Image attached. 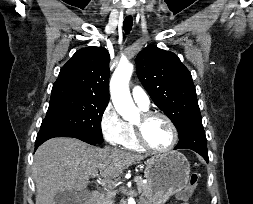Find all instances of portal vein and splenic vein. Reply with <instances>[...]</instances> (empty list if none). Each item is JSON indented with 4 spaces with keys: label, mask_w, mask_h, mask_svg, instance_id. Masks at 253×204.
<instances>
[{
    "label": "portal vein and splenic vein",
    "mask_w": 253,
    "mask_h": 204,
    "mask_svg": "<svg viewBox=\"0 0 253 204\" xmlns=\"http://www.w3.org/2000/svg\"><path fill=\"white\" fill-rule=\"evenodd\" d=\"M96 176H98V173H94V174L92 175V177H96ZM139 180H140V177H139V176L134 177V182H138ZM100 183H101V184H108V185H110V182H106V181H101Z\"/></svg>",
    "instance_id": "portal-vein-and-splenic-vein-1"
}]
</instances>
